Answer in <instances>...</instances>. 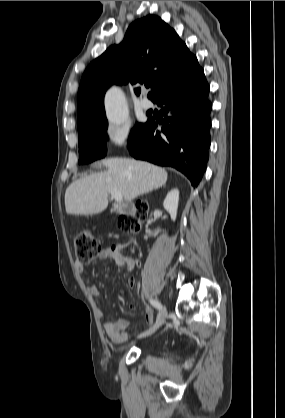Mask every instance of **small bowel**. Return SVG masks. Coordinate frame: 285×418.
<instances>
[{
  "label": "small bowel",
  "instance_id": "c3829d8e",
  "mask_svg": "<svg viewBox=\"0 0 285 418\" xmlns=\"http://www.w3.org/2000/svg\"><path fill=\"white\" fill-rule=\"evenodd\" d=\"M100 258L110 261V263L113 266H123L125 273L128 275L132 274L138 266L137 260L123 259L120 250L117 247H108L102 249L100 252ZM75 268L79 273H83L85 271V266L81 263H76ZM128 282L131 285L133 284V280L131 278H129ZM87 288L92 295H98V289L93 283L88 282ZM146 318L148 321L151 320L150 311H147ZM103 327L107 336L111 339L113 343L121 344L127 340L128 320L125 317H120L117 321H112L110 319L105 318L103 320Z\"/></svg>",
  "mask_w": 285,
  "mask_h": 418
}]
</instances>
